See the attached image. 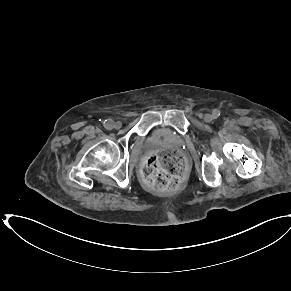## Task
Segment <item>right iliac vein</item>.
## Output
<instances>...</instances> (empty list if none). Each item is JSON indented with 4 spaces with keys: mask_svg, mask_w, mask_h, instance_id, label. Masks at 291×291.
I'll list each match as a JSON object with an SVG mask.
<instances>
[{
    "mask_svg": "<svg viewBox=\"0 0 291 291\" xmlns=\"http://www.w3.org/2000/svg\"><path fill=\"white\" fill-rule=\"evenodd\" d=\"M121 126H122V123H121L120 121H117V122H115V123L113 124V127H114L115 129H120Z\"/></svg>",
    "mask_w": 291,
    "mask_h": 291,
    "instance_id": "obj_1",
    "label": "right iliac vein"
}]
</instances>
